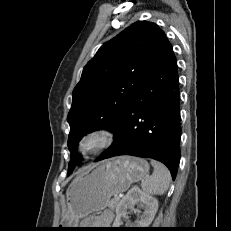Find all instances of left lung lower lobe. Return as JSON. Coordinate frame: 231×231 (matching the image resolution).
<instances>
[{"label": "left lung lower lobe", "mask_w": 231, "mask_h": 231, "mask_svg": "<svg viewBox=\"0 0 231 231\" xmlns=\"http://www.w3.org/2000/svg\"><path fill=\"white\" fill-rule=\"evenodd\" d=\"M177 60L168 39L147 69L113 132L115 141L95 162L119 155L152 158L176 178L180 150Z\"/></svg>", "instance_id": "left-lung-lower-lobe-1"}]
</instances>
